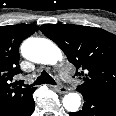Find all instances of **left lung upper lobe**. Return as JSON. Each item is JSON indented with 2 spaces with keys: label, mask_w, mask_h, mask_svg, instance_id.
<instances>
[{
  "label": "left lung upper lobe",
  "mask_w": 116,
  "mask_h": 116,
  "mask_svg": "<svg viewBox=\"0 0 116 116\" xmlns=\"http://www.w3.org/2000/svg\"><path fill=\"white\" fill-rule=\"evenodd\" d=\"M40 29L75 65L83 80L77 91L116 96V35L73 24H45Z\"/></svg>",
  "instance_id": "1"
}]
</instances>
